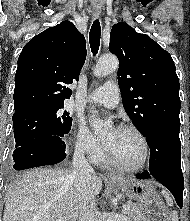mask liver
Returning <instances> with one entry per match:
<instances>
[{"label":"liver","instance_id":"liver-1","mask_svg":"<svg viewBox=\"0 0 190 221\" xmlns=\"http://www.w3.org/2000/svg\"><path fill=\"white\" fill-rule=\"evenodd\" d=\"M102 179L92 175L90 190L96 197ZM81 194L66 169L38 168L24 173L9 189L3 221H77Z\"/></svg>","mask_w":190,"mask_h":221}]
</instances>
